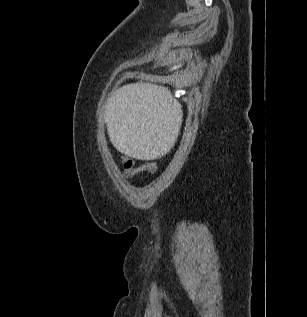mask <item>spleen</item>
<instances>
[{
  "label": "spleen",
  "mask_w": 307,
  "mask_h": 317,
  "mask_svg": "<svg viewBox=\"0 0 307 317\" xmlns=\"http://www.w3.org/2000/svg\"><path fill=\"white\" fill-rule=\"evenodd\" d=\"M180 106L170 92L143 84L115 91L107 106L105 121L111 142L122 153L142 160H160L178 148Z\"/></svg>",
  "instance_id": "spleen-1"
}]
</instances>
